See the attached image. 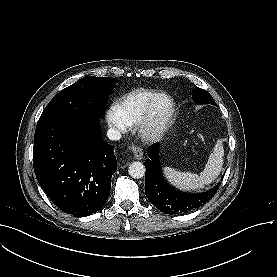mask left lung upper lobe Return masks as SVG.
I'll return each instance as SVG.
<instances>
[{"label": "left lung upper lobe", "instance_id": "5c2ea615", "mask_svg": "<svg viewBox=\"0 0 277 277\" xmlns=\"http://www.w3.org/2000/svg\"><path fill=\"white\" fill-rule=\"evenodd\" d=\"M192 99L200 105L211 104L217 106L212 96L204 89L196 87Z\"/></svg>", "mask_w": 277, "mask_h": 277}]
</instances>
